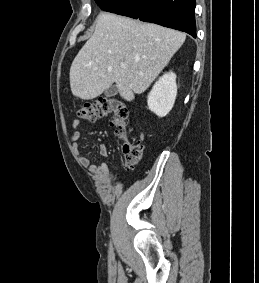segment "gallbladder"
<instances>
[{
    "mask_svg": "<svg viewBox=\"0 0 259 283\" xmlns=\"http://www.w3.org/2000/svg\"><path fill=\"white\" fill-rule=\"evenodd\" d=\"M104 94L106 97H113L118 94V88L116 87V85H112L105 90Z\"/></svg>",
    "mask_w": 259,
    "mask_h": 283,
    "instance_id": "bac80fb5",
    "label": "gallbladder"
}]
</instances>
